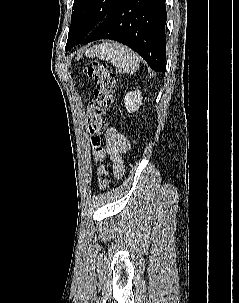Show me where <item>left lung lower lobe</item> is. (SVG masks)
Instances as JSON below:
<instances>
[{
  "label": "left lung lower lobe",
  "mask_w": 239,
  "mask_h": 303,
  "mask_svg": "<svg viewBox=\"0 0 239 303\" xmlns=\"http://www.w3.org/2000/svg\"><path fill=\"white\" fill-rule=\"evenodd\" d=\"M165 0H118L81 42L119 41L141 55L156 72L166 71Z\"/></svg>",
  "instance_id": "left-lung-lower-lobe-1"
}]
</instances>
